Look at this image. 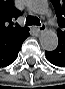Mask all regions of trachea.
<instances>
[{"label":"trachea","instance_id":"trachea-1","mask_svg":"<svg viewBox=\"0 0 65 89\" xmlns=\"http://www.w3.org/2000/svg\"><path fill=\"white\" fill-rule=\"evenodd\" d=\"M26 25L30 26V25H41L40 20L37 17H33V16H28L26 18Z\"/></svg>","mask_w":65,"mask_h":89}]
</instances>
